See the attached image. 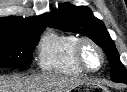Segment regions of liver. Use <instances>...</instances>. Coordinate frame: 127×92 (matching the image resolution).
<instances>
[{
  "instance_id": "1",
  "label": "liver",
  "mask_w": 127,
  "mask_h": 92,
  "mask_svg": "<svg viewBox=\"0 0 127 92\" xmlns=\"http://www.w3.org/2000/svg\"><path fill=\"white\" fill-rule=\"evenodd\" d=\"M84 83H86L85 79L55 74L11 79L0 77V92H70Z\"/></svg>"
}]
</instances>
